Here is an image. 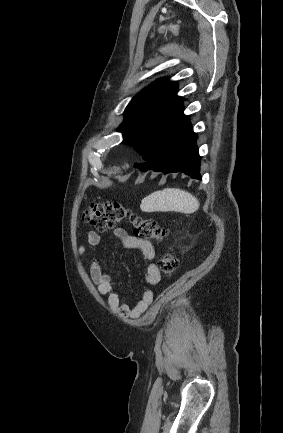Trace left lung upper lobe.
I'll return each mask as SVG.
<instances>
[{
  "instance_id": "left-lung-upper-lobe-1",
  "label": "left lung upper lobe",
  "mask_w": 283,
  "mask_h": 433,
  "mask_svg": "<svg viewBox=\"0 0 283 433\" xmlns=\"http://www.w3.org/2000/svg\"><path fill=\"white\" fill-rule=\"evenodd\" d=\"M177 83L158 79L137 94L125 109L118 131L123 143L132 145L139 153L153 128L170 126L178 130L189 119L183 114L182 98L176 95Z\"/></svg>"
}]
</instances>
